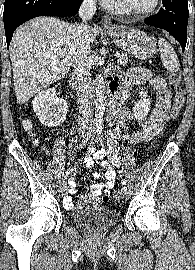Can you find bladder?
Returning a JSON list of instances; mask_svg holds the SVG:
<instances>
[{
    "label": "bladder",
    "mask_w": 195,
    "mask_h": 270,
    "mask_svg": "<svg viewBox=\"0 0 195 270\" xmlns=\"http://www.w3.org/2000/svg\"><path fill=\"white\" fill-rule=\"evenodd\" d=\"M119 219V213L111 207L94 205L76 211L72 215L74 224L87 230L105 231L113 227Z\"/></svg>",
    "instance_id": "bladder-1"
}]
</instances>
